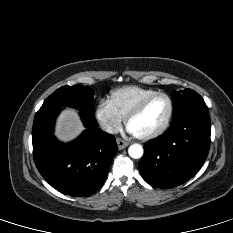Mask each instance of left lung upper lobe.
Masks as SVG:
<instances>
[{
	"mask_svg": "<svg viewBox=\"0 0 233 233\" xmlns=\"http://www.w3.org/2000/svg\"><path fill=\"white\" fill-rule=\"evenodd\" d=\"M173 97V119L193 111H208L202 97L192 89L175 91Z\"/></svg>",
	"mask_w": 233,
	"mask_h": 233,
	"instance_id": "obj_1",
	"label": "left lung upper lobe"
}]
</instances>
